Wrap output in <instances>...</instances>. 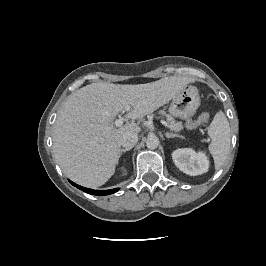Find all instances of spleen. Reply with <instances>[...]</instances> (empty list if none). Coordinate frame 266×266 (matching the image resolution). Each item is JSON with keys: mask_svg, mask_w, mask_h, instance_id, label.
Returning a JSON list of instances; mask_svg holds the SVG:
<instances>
[{"mask_svg": "<svg viewBox=\"0 0 266 266\" xmlns=\"http://www.w3.org/2000/svg\"><path fill=\"white\" fill-rule=\"evenodd\" d=\"M212 141L208 147L214 158L215 167L220 168L226 160L231 143L229 122L223 112H218L208 127Z\"/></svg>", "mask_w": 266, "mask_h": 266, "instance_id": "1", "label": "spleen"}]
</instances>
